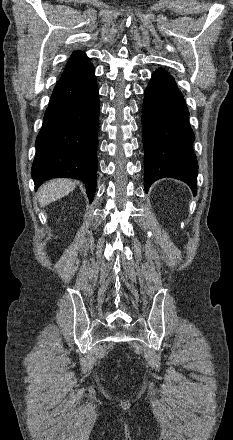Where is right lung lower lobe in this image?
I'll return each instance as SVG.
<instances>
[{
	"instance_id": "obj_1",
	"label": "right lung lower lobe",
	"mask_w": 233,
	"mask_h": 440,
	"mask_svg": "<svg viewBox=\"0 0 233 440\" xmlns=\"http://www.w3.org/2000/svg\"><path fill=\"white\" fill-rule=\"evenodd\" d=\"M93 65L57 82L36 139L35 187L55 177L86 183L93 201L97 175L99 97Z\"/></svg>"
}]
</instances>
